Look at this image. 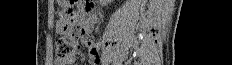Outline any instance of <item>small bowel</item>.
<instances>
[{
	"instance_id": "small-bowel-1",
	"label": "small bowel",
	"mask_w": 232,
	"mask_h": 65,
	"mask_svg": "<svg viewBox=\"0 0 232 65\" xmlns=\"http://www.w3.org/2000/svg\"><path fill=\"white\" fill-rule=\"evenodd\" d=\"M92 10L91 5H85L81 8L80 12H60L58 16L59 23L57 24V30L59 37H71V38H83V43L90 48V64L96 65L99 63V48L94 43L93 38L89 35L90 29H82L81 26H77V17L81 20H89L91 26L93 21L90 19V12ZM90 26V28H91ZM76 53L68 55L65 58L57 59L55 65H70L75 62Z\"/></svg>"
}]
</instances>
